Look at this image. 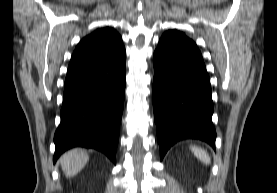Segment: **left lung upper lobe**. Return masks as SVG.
<instances>
[{
  "mask_svg": "<svg viewBox=\"0 0 277 193\" xmlns=\"http://www.w3.org/2000/svg\"><path fill=\"white\" fill-rule=\"evenodd\" d=\"M164 36L176 37V38H179L185 42H188V43L196 46L195 43L191 39H189L186 35H184L183 33L179 32L177 30H169L164 34Z\"/></svg>",
  "mask_w": 277,
  "mask_h": 193,
  "instance_id": "5c2ea615",
  "label": "left lung upper lobe"
}]
</instances>
